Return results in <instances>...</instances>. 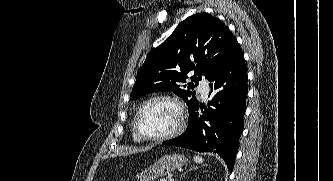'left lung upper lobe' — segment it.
<instances>
[{
    "label": "left lung upper lobe",
    "instance_id": "obj_1",
    "mask_svg": "<svg viewBox=\"0 0 333 181\" xmlns=\"http://www.w3.org/2000/svg\"><path fill=\"white\" fill-rule=\"evenodd\" d=\"M239 48L229 28L218 18L202 12L186 18L174 32L151 51L137 72L131 99L156 91H172L189 111L199 104L190 89L201 77L209 79ZM191 74V83L185 84Z\"/></svg>",
    "mask_w": 333,
    "mask_h": 181
}]
</instances>
